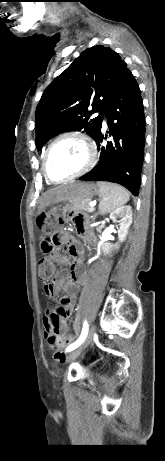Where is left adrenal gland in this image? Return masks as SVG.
I'll use <instances>...</instances> for the list:
<instances>
[{"label": "left adrenal gland", "mask_w": 165, "mask_h": 461, "mask_svg": "<svg viewBox=\"0 0 165 461\" xmlns=\"http://www.w3.org/2000/svg\"><path fill=\"white\" fill-rule=\"evenodd\" d=\"M99 214H100V212L95 213L94 216L92 217V220L94 221L95 218H96Z\"/></svg>", "instance_id": "obj_1"}]
</instances>
